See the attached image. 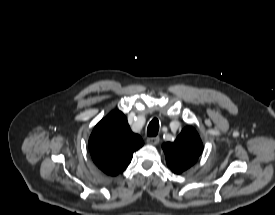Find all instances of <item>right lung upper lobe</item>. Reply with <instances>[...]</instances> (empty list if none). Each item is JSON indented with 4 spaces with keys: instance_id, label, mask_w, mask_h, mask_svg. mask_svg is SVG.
<instances>
[{
    "instance_id": "cb5924a9",
    "label": "right lung upper lobe",
    "mask_w": 275,
    "mask_h": 215,
    "mask_svg": "<svg viewBox=\"0 0 275 215\" xmlns=\"http://www.w3.org/2000/svg\"><path fill=\"white\" fill-rule=\"evenodd\" d=\"M144 145L131 131L121 111H112L93 129L89 150L95 164L106 174L115 176L131 162L133 152Z\"/></svg>"
}]
</instances>
